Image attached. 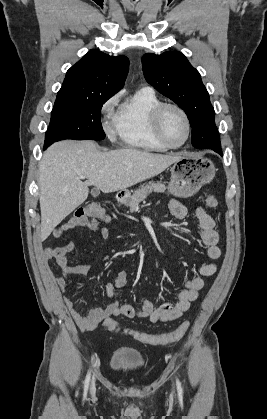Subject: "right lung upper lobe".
<instances>
[{
	"label": "right lung upper lobe",
	"mask_w": 267,
	"mask_h": 419,
	"mask_svg": "<svg viewBox=\"0 0 267 419\" xmlns=\"http://www.w3.org/2000/svg\"><path fill=\"white\" fill-rule=\"evenodd\" d=\"M128 66L125 56L91 50L67 71L57 96H113L124 86Z\"/></svg>",
	"instance_id": "right-lung-upper-lobe-1"
}]
</instances>
